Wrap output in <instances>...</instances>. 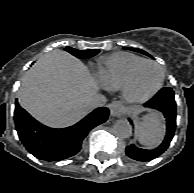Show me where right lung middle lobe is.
I'll list each match as a JSON object with an SVG mask.
<instances>
[{
    "mask_svg": "<svg viewBox=\"0 0 194 193\" xmlns=\"http://www.w3.org/2000/svg\"><path fill=\"white\" fill-rule=\"evenodd\" d=\"M65 50L68 51L69 53H71L72 55H74L75 57L82 58V59L90 58L99 52V50L79 51V50L71 48V47H66Z\"/></svg>",
    "mask_w": 194,
    "mask_h": 193,
    "instance_id": "obj_1",
    "label": "right lung middle lobe"
}]
</instances>
